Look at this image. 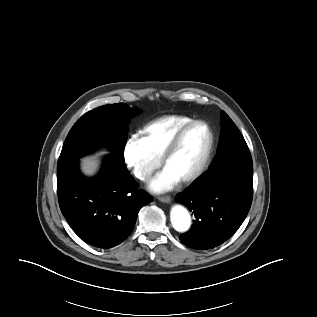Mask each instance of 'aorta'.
<instances>
[{"label": "aorta", "mask_w": 317, "mask_h": 317, "mask_svg": "<svg viewBox=\"0 0 317 317\" xmlns=\"http://www.w3.org/2000/svg\"><path fill=\"white\" fill-rule=\"evenodd\" d=\"M170 220L173 228L178 232H186L191 227V217L186 208L176 205L170 213Z\"/></svg>", "instance_id": "aorta-1"}]
</instances>
